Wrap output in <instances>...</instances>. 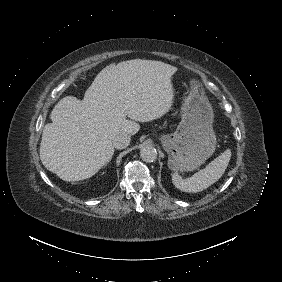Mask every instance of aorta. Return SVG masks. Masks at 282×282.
Wrapping results in <instances>:
<instances>
[{
	"label": "aorta",
	"instance_id": "1",
	"mask_svg": "<svg viewBox=\"0 0 282 282\" xmlns=\"http://www.w3.org/2000/svg\"><path fill=\"white\" fill-rule=\"evenodd\" d=\"M140 157L145 162H153L157 159V151L154 147L146 145L140 150Z\"/></svg>",
	"mask_w": 282,
	"mask_h": 282
}]
</instances>
